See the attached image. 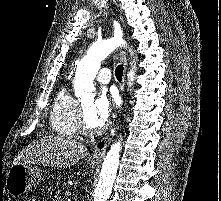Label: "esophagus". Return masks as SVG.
<instances>
[{
	"instance_id": "obj_1",
	"label": "esophagus",
	"mask_w": 221,
	"mask_h": 201,
	"mask_svg": "<svg viewBox=\"0 0 221 201\" xmlns=\"http://www.w3.org/2000/svg\"><path fill=\"white\" fill-rule=\"evenodd\" d=\"M120 55H121V59L124 65L123 81L120 87L121 92H123L124 83H125V74L127 70V58H126V53L124 51H121ZM116 129H117V125L111 130V132L107 136L101 138L97 142V144L94 147L93 153L89 156V160L91 162H100L103 159L106 149L108 148L112 138L115 135Z\"/></svg>"
}]
</instances>
